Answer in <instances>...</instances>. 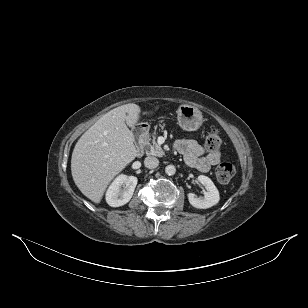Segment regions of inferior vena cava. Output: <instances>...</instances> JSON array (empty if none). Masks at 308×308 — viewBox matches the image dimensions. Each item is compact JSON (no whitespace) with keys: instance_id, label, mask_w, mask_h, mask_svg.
<instances>
[{"instance_id":"inferior-vena-cava-1","label":"inferior vena cava","mask_w":308,"mask_h":308,"mask_svg":"<svg viewBox=\"0 0 308 308\" xmlns=\"http://www.w3.org/2000/svg\"><path fill=\"white\" fill-rule=\"evenodd\" d=\"M144 165L148 169H154L159 165V160L156 157L148 156L144 159Z\"/></svg>"}]
</instances>
